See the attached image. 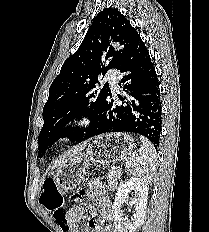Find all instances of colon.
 I'll use <instances>...</instances> for the list:
<instances>
[{"label": "colon", "instance_id": "colon-1", "mask_svg": "<svg viewBox=\"0 0 209 232\" xmlns=\"http://www.w3.org/2000/svg\"><path fill=\"white\" fill-rule=\"evenodd\" d=\"M40 202L53 215L58 226H67L63 209L64 198L57 183L53 179L48 178L44 181Z\"/></svg>", "mask_w": 209, "mask_h": 232}]
</instances>
